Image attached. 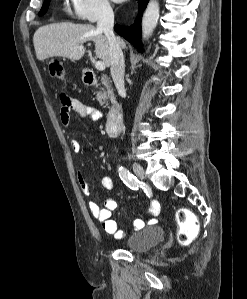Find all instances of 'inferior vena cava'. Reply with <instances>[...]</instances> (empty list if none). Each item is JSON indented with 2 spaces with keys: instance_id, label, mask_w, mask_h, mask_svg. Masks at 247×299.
<instances>
[{
  "instance_id": "obj_1",
  "label": "inferior vena cava",
  "mask_w": 247,
  "mask_h": 299,
  "mask_svg": "<svg viewBox=\"0 0 247 299\" xmlns=\"http://www.w3.org/2000/svg\"><path fill=\"white\" fill-rule=\"evenodd\" d=\"M114 13L109 4H103L100 8L97 29L104 32L110 50L111 76L119 94L125 92L124 86V56L118 39L113 32Z\"/></svg>"
}]
</instances>
